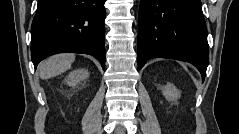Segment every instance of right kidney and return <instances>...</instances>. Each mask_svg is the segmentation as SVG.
<instances>
[{
    "mask_svg": "<svg viewBox=\"0 0 239 134\" xmlns=\"http://www.w3.org/2000/svg\"><path fill=\"white\" fill-rule=\"evenodd\" d=\"M89 77V72L85 69H76L69 73L65 79V83L71 87H75L81 81Z\"/></svg>",
    "mask_w": 239,
    "mask_h": 134,
    "instance_id": "1",
    "label": "right kidney"
}]
</instances>
